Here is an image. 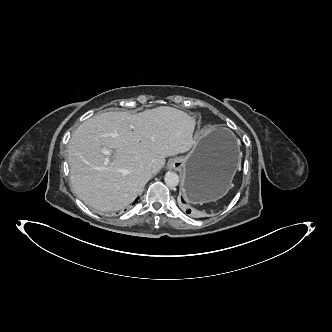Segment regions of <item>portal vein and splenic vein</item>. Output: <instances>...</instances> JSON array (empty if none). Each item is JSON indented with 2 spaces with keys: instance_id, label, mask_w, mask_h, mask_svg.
Masks as SVG:
<instances>
[{
  "instance_id": "18ae733b",
  "label": "portal vein and splenic vein",
  "mask_w": 332,
  "mask_h": 332,
  "mask_svg": "<svg viewBox=\"0 0 332 332\" xmlns=\"http://www.w3.org/2000/svg\"><path fill=\"white\" fill-rule=\"evenodd\" d=\"M104 153H105L106 155H109V154H110V151H109V150H105Z\"/></svg>"
}]
</instances>
